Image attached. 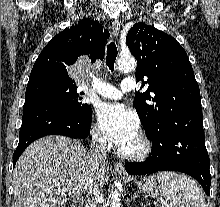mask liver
<instances>
[{"label":"liver","mask_w":220,"mask_h":207,"mask_svg":"<svg viewBox=\"0 0 220 207\" xmlns=\"http://www.w3.org/2000/svg\"><path fill=\"white\" fill-rule=\"evenodd\" d=\"M106 165L93 169L83 145L64 136H47L33 142L17 161L13 173L15 207H64L70 197L79 199L90 184L104 186ZM58 187L68 197L61 199Z\"/></svg>","instance_id":"6515ba94"}]
</instances>
